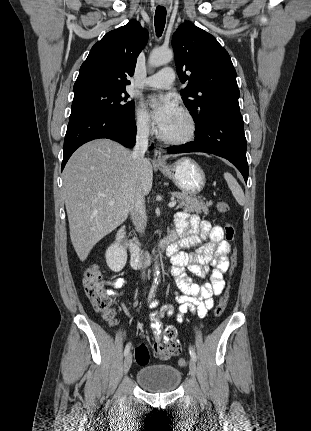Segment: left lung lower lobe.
<instances>
[{
	"mask_svg": "<svg viewBox=\"0 0 311 431\" xmlns=\"http://www.w3.org/2000/svg\"><path fill=\"white\" fill-rule=\"evenodd\" d=\"M169 153L207 152L229 160L247 183L246 138L240 111H226L196 129L195 140L168 148Z\"/></svg>",
	"mask_w": 311,
	"mask_h": 431,
	"instance_id": "1",
	"label": "left lung lower lobe"
}]
</instances>
